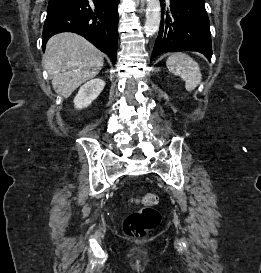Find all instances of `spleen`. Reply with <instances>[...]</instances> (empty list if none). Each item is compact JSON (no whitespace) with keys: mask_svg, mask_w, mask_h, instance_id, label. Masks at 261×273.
<instances>
[{"mask_svg":"<svg viewBox=\"0 0 261 273\" xmlns=\"http://www.w3.org/2000/svg\"><path fill=\"white\" fill-rule=\"evenodd\" d=\"M166 65L171 73L185 81V88L189 92L193 91L202 79L198 63L186 53L172 54L167 59Z\"/></svg>","mask_w":261,"mask_h":273,"instance_id":"spleen-1","label":"spleen"}]
</instances>
